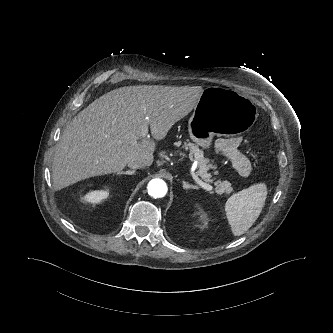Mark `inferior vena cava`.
Listing matches in <instances>:
<instances>
[{
  "instance_id": "obj_1",
  "label": "inferior vena cava",
  "mask_w": 333,
  "mask_h": 333,
  "mask_svg": "<svg viewBox=\"0 0 333 333\" xmlns=\"http://www.w3.org/2000/svg\"><path fill=\"white\" fill-rule=\"evenodd\" d=\"M146 166L147 165H146L145 161L140 160V159H134L128 163V167H130L131 169L145 168Z\"/></svg>"
}]
</instances>
